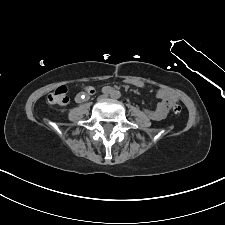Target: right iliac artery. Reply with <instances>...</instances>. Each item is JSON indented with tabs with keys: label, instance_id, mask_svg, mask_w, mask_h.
<instances>
[{
	"label": "right iliac artery",
	"instance_id": "82829eb1",
	"mask_svg": "<svg viewBox=\"0 0 225 225\" xmlns=\"http://www.w3.org/2000/svg\"><path fill=\"white\" fill-rule=\"evenodd\" d=\"M112 92H113V89L109 86L102 88V93H104V94H112Z\"/></svg>",
	"mask_w": 225,
	"mask_h": 225
}]
</instances>
